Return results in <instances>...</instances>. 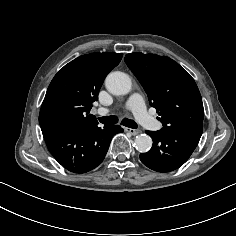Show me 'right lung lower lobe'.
I'll return each instance as SVG.
<instances>
[{"instance_id": "1", "label": "right lung lower lobe", "mask_w": 236, "mask_h": 236, "mask_svg": "<svg viewBox=\"0 0 236 236\" xmlns=\"http://www.w3.org/2000/svg\"><path fill=\"white\" fill-rule=\"evenodd\" d=\"M98 124L80 127L51 126L42 129L46 145L54 158L73 173H86L101 164L112 137L123 129Z\"/></svg>"}]
</instances>
